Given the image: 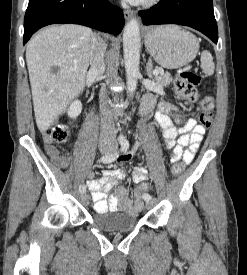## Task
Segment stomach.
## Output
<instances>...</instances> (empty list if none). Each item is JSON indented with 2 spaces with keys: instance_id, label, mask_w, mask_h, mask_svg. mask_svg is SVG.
I'll return each instance as SVG.
<instances>
[{
  "instance_id": "1",
  "label": "stomach",
  "mask_w": 247,
  "mask_h": 275,
  "mask_svg": "<svg viewBox=\"0 0 247 275\" xmlns=\"http://www.w3.org/2000/svg\"><path fill=\"white\" fill-rule=\"evenodd\" d=\"M144 34L146 49L158 64L167 69L187 65L199 49L198 39L177 26L149 27Z\"/></svg>"
}]
</instances>
